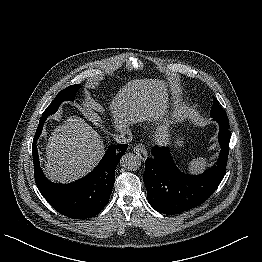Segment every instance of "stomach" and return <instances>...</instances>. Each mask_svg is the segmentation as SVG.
Returning a JSON list of instances; mask_svg holds the SVG:
<instances>
[{
  "mask_svg": "<svg viewBox=\"0 0 262 262\" xmlns=\"http://www.w3.org/2000/svg\"><path fill=\"white\" fill-rule=\"evenodd\" d=\"M172 117L176 121H181V120H183L185 118V114H184V112L182 110H175L172 113ZM178 143L181 144L180 141Z\"/></svg>",
  "mask_w": 262,
  "mask_h": 262,
  "instance_id": "0dacf381",
  "label": "stomach"
}]
</instances>
